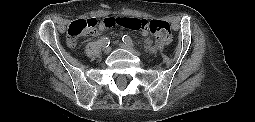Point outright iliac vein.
I'll use <instances>...</instances> for the list:
<instances>
[{
	"label": "right iliac vein",
	"instance_id": "63e3f726",
	"mask_svg": "<svg viewBox=\"0 0 255 122\" xmlns=\"http://www.w3.org/2000/svg\"><path fill=\"white\" fill-rule=\"evenodd\" d=\"M104 52L105 54H109L111 52V47H105Z\"/></svg>",
	"mask_w": 255,
	"mask_h": 122
}]
</instances>
